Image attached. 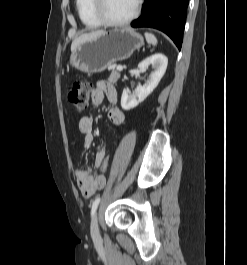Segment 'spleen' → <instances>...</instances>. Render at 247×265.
<instances>
[{
	"label": "spleen",
	"mask_w": 247,
	"mask_h": 265,
	"mask_svg": "<svg viewBox=\"0 0 247 265\" xmlns=\"http://www.w3.org/2000/svg\"><path fill=\"white\" fill-rule=\"evenodd\" d=\"M145 39H146L147 43L152 44L153 46L157 45V39L153 34L145 33Z\"/></svg>",
	"instance_id": "spleen-1"
}]
</instances>
